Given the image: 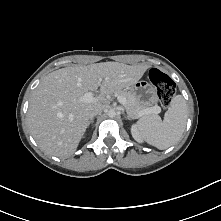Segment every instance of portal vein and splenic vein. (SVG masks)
<instances>
[{"label":"portal vein and splenic vein","instance_id":"18ae733b","mask_svg":"<svg viewBox=\"0 0 221 221\" xmlns=\"http://www.w3.org/2000/svg\"><path fill=\"white\" fill-rule=\"evenodd\" d=\"M95 97H94V94L92 92H86L83 97H82V100L84 102H92L94 101ZM117 100L119 101V103H121L122 105H126V99L122 96H117ZM160 107H151V108H147L143 111L140 112V116H143V115H147V114H150V113H154V112H160Z\"/></svg>","mask_w":221,"mask_h":221}]
</instances>
